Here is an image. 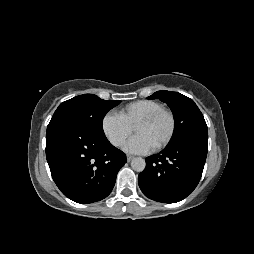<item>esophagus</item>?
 <instances>
[{
    "mask_svg": "<svg viewBox=\"0 0 254 254\" xmlns=\"http://www.w3.org/2000/svg\"><path fill=\"white\" fill-rule=\"evenodd\" d=\"M134 157L131 155H127V161L130 162Z\"/></svg>",
    "mask_w": 254,
    "mask_h": 254,
    "instance_id": "1",
    "label": "esophagus"
}]
</instances>
